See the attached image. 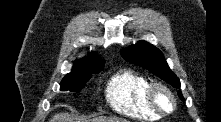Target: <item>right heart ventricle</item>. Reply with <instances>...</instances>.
I'll return each mask as SVG.
<instances>
[{
	"label": "right heart ventricle",
	"instance_id": "obj_1",
	"mask_svg": "<svg viewBox=\"0 0 221 122\" xmlns=\"http://www.w3.org/2000/svg\"><path fill=\"white\" fill-rule=\"evenodd\" d=\"M148 78L132 69H123L113 74L105 89L109 106L117 113L136 119L158 120L161 115L148 103Z\"/></svg>",
	"mask_w": 221,
	"mask_h": 122
}]
</instances>
